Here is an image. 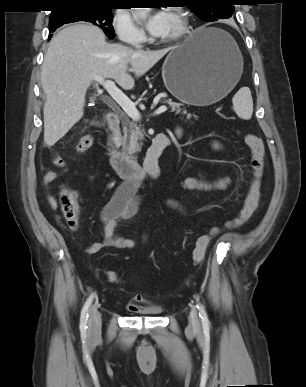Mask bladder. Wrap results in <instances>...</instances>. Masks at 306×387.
<instances>
[{
  "label": "bladder",
  "instance_id": "bladder-1",
  "mask_svg": "<svg viewBox=\"0 0 306 387\" xmlns=\"http://www.w3.org/2000/svg\"><path fill=\"white\" fill-rule=\"evenodd\" d=\"M131 312L137 315L156 317L162 314L163 308L156 304H146L140 305L137 310H133Z\"/></svg>",
  "mask_w": 306,
  "mask_h": 387
}]
</instances>
